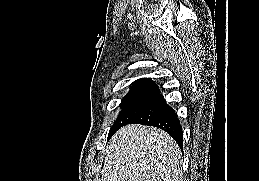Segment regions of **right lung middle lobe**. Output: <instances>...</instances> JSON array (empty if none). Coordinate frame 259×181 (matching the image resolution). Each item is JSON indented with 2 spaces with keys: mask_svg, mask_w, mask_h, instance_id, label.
Masks as SVG:
<instances>
[{
  "mask_svg": "<svg viewBox=\"0 0 259 181\" xmlns=\"http://www.w3.org/2000/svg\"><path fill=\"white\" fill-rule=\"evenodd\" d=\"M159 92L157 85L131 86L130 91L121 101L122 111L111 127L108 136L136 119L151 104Z\"/></svg>",
  "mask_w": 259,
  "mask_h": 181,
  "instance_id": "right-lung-middle-lobe-1",
  "label": "right lung middle lobe"
}]
</instances>
